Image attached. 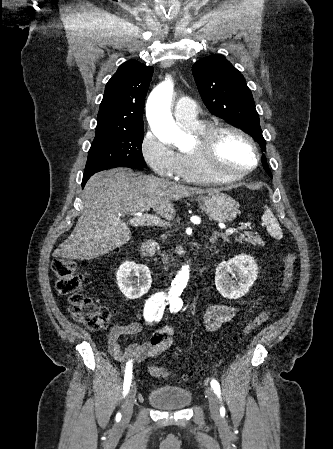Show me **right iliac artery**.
Returning <instances> with one entry per match:
<instances>
[{
  "label": "right iliac artery",
  "mask_w": 333,
  "mask_h": 449,
  "mask_svg": "<svg viewBox=\"0 0 333 449\" xmlns=\"http://www.w3.org/2000/svg\"><path fill=\"white\" fill-rule=\"evenodd\" d=\"M165 295L163 293H157L151 296L145 303L144 306V317L147 321L152 322L153 320L160 321L165 308ZM170 298H166L169 300ZM132 381V361L126 363L124 385H123V395L125 396L130 388Z\"/></svg>",
  "instance_id": "obj_1"
}]
</instances>
